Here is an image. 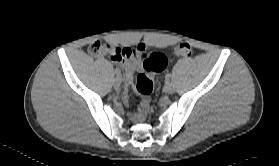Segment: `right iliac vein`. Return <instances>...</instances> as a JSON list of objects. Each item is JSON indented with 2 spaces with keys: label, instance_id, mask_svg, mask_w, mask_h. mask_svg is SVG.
<instances>
[{
  "label": "right iliac vein",
  "instance_id": "obj_1",
  "mask_svg": "<svg viewBox=\"0 0 279 166\" xmlns=\"http://www.w3.org/2000/svg\"><path fill=\"white\" fill-rule=\"evenodd\" d=\"M114 88L115 89H118L120 87V84H121V78L119 76H117L115 79H114Z\"/></svg>",
  "mask_w": 279,
  "mask_h": 166
}]
</instances>
